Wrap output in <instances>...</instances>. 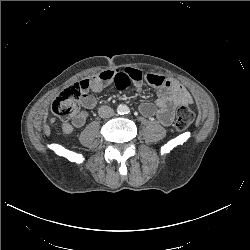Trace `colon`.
Returning <instances> with one entry per match:
<instances>
[{
    "instance_id": "1",
    "label": "colon",
    "mask_w": 250,
    "mask_h": 250,
    "mask_svg": "<svg viewBox=\"0 0 250 250\" xmlns=\"http://www.w3.org/2000/svg\"><path fill=\"white\" fill-rule=\"evenodd\" d=\"M81 94L82 89L78 83L62 90L52 104L53 114L63 120L73 117L79 109ZM193 119L192 110L187 106H181L176 111L174 126L177 130L183 131L192 124Z\"/></svg>"
}]
</instances>
